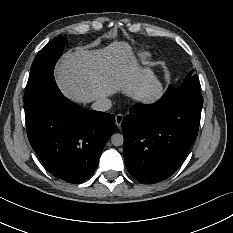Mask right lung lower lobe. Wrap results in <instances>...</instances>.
Listing matches in <instances>:
<instances>
[{
    "label": "right lung lower lobe",
    "mask_w": 233,
    "mask_h": 233,
    "mask_svg": "<svg viewBox=\"0 0 233 233\" xmlns=\"http://www.w3.org/2000/svg\"><path fill=\"white\" fill-rule=\"evenodd\" d=\"M24 109L29 142L47 170L73 184L88 179L114 131V115L71 102L54 79Z\"/></svg>",
    "instance_id": "1"
}]
</instances>
